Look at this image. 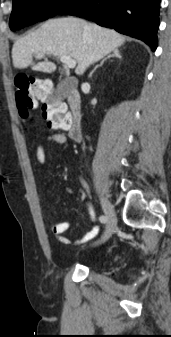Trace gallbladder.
Wrapping results in <instances>:
<instances>
[{"mask_svg":"<svg viewBox=\"0 0 171 337\" xmlns=\"http://www.w3.org/2000/svg\"><path fill=\"white\" fill-rule=\"evenodd\" d=\"M72 85L68 80H63L59 83L55 96L59 99L64 98L71 90Z\"/></svg>","mask_w":171,"mask_h":337,"instance_id":"obj_1","label":"gallbladder"}]
</instances>
